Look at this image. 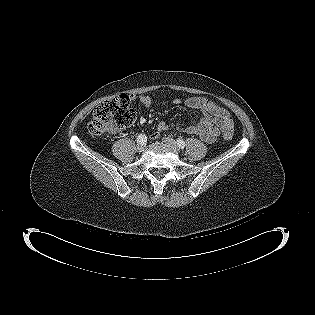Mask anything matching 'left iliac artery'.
<instances>
[{"mask_svg": "<svg viewBox=\"0 0 315 315\" xmlns=\"http://www.w3.org/2000/svg\"><path fill=\"white\" fill-rule=\"evenodd\" d=\"M177 145L179 146V148H184L185 147V142L182 139H177Z\"/></svg>", "mask_w": 315, "mask_h": 315, "instance_id": "obj_1", "label": "left iliac artery"}]
</instances>
